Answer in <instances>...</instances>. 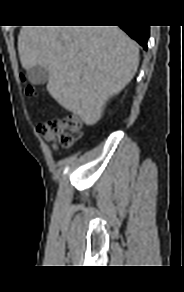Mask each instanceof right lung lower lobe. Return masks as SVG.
Here are the masks:
<instances>
[{
    "label": "right lung lower lobe",
    "instance_id": "1",
    "mask_svg": "<svg viewBox=\"0 0 184 292\" xmlns=\"http://www.w3.org/2000/svg\"><path fill=\"white\" fill-rule=\"evenodd\" d=\"M131 38L136 40L144 49L150 34L149 26H120Z\"/></svg>",
    "mask_w": 184,
    "mask_h": 292
}]
</instances>
